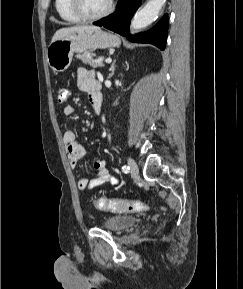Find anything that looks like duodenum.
Returning a JSON list of instances; mask_svg holds the SVG:
<instances>
[{"label":"duodenum","mask_w":243,"mask_h":289,"mask_svg":"<svg viewBox=\"0 0 243 289\" xmlns=\"http://www.w3.org/2000/svg\"><path fill=\"white\" fill-rule=\"evenodd\" d=\"M94 97L96 101V106L98 109H101L102 105V98H101V93H100V88H97L96 91L94 92Z\"/></svg>","instance_id":"410a0bca"}]
</instances>
